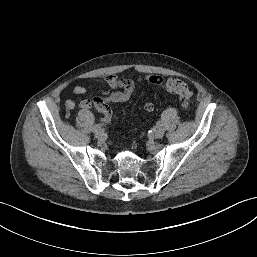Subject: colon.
<instances>
[{
  "instance_id": "colon-1",
  "label": "colon",
  "mask_w": 257,
  "mask_h": 257,
  "mask_svg": "<svg viewBox=\"0 0 257 257\" xmlns=\"http://www.w3.org/2000/svg\"><path fill=\"white\" fill-rule=\"evenodd\" d=\"M164 89L171 94L177 95L182 106L187 109L192 103V92L188 85L180 79H168L163 84Z\"/></svg>"
}]
</instances>
